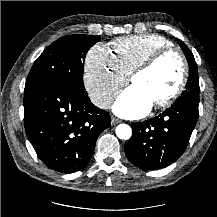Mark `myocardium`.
<instances>
[{
  "label": "myocardium",
  "mask_w": 217,
  "mask_h": 217,
  "mask_svg": "<svg viewBox=\"0 0 217 217\" xmlns=\"http://www.w3.org/2000/svg\"><path fill=\"white\" fill-rule=\"evenodd\" d=\"M170 56L176 57L179 61L181 69L179 81L176 88L170 95L154 103V106L156 108H164L170 106L183 94L186 88L189 76V67L187 60L182 52L174 48H167L158 51L157 53L153 54L148 60L136 67L130 74L129 80L132 82L133 78L136 75L150 71L151 69L155 68L162 60Z\"/></svg>",
  "instance_id": "f54148a6"
}]
</instances>
